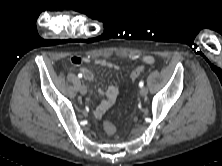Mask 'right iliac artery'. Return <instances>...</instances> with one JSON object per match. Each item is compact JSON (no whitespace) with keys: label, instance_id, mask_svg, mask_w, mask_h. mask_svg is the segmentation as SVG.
Returning <instances> with one entry per match:
<instances>
[{"label":"right iliac artery","instance_id":"right-iliac-artery-1","mask_svg":"<svg viewBox=\"0 0 222 166\" xmlns=\"http://www.w3.org/2000/svg\"><path fill=\"white\" fill-rule=\"evenodd\" d=\"M78 77H79V78H82V74H81V73H79V74H78Z\"/></svg>","mask_w":222,"mask_h":166}]
</instances>
